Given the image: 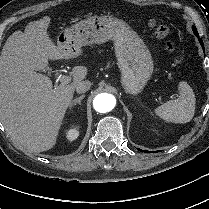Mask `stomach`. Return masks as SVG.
I'll use <instances>...</instances> for the list:
<instances>
[{"mask_svg":"<svg viewBox=\"0 0 209 209\" xmlns=\"http://www.w3.org/2000/svg\"><path fill=\"white\" fill-rule=\"evenodd\" d=\"M114 42L121 83L126 92H141L153 73V60L140 36L121 19L112 15L90 16L65 28L57 36V47L71 58L89 44Z\"/></svg>","mask_w":209,"mask_h":209,"instance_id":"stomach-1","label":"stomach"}]
</instances>
